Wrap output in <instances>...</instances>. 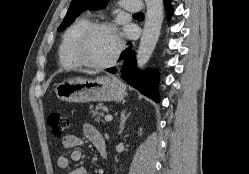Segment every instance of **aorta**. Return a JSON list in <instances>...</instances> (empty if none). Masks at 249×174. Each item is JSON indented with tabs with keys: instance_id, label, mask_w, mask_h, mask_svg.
I'll list each match as a JSON object with an SVG mask.
<instances>
[{
	"instance_id": "aorta-1",
	"label": "aorta",
	"mask_w": 249,
	"mask_h": 174,
	"mask_svg": "<svg viewBox=\"0 0 249 174\" xmlns=\"http://www.w3.org/2000/svg\"><path fill=\"white\" fill-rule=\"evenodd\" d=\"M147 12L142 37L137 50V66L143 68L158 42L163 23V0H145Z\"/></svg>"
}]
</instances>
